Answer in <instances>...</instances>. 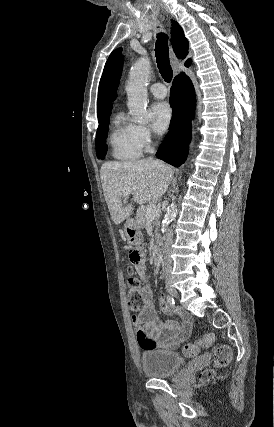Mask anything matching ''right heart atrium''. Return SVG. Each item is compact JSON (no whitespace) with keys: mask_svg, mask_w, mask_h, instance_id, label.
I'll list each match as a JSON object with an SVG mask.
<instances>
[{"mask_svg":"<svg viewBox=\"0 0 274 427\" xmlns=\"http://www.w3.org/2000/svg\"><path fill=\"white\" fill-rule=\"evenodd\" d=\"M135 130L140 148L144 151H149L153 146V138L150 129L145 126L137 125Z\"/></svg>","mask_w":274,"mask_h":427,"instance_id":"d8ad5b80","label":"right heart atrium"}]
</instances>
